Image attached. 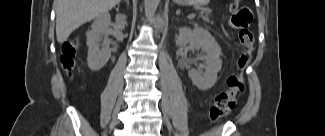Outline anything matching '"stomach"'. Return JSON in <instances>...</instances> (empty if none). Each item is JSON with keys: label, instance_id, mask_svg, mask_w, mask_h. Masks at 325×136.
<instances>
[{"label": "stomach", "instance_id": "stomach-1", "mask_svg": "<svg viewBox=\"0 0 325 136\" xmlns=\"http://www.w3.org/2000/svg\"><path fill=\"white\" fill-rule=\"evenodd\" d=\"M174 2L186 6H203L206 5L209 0H174Z\"/></svg>", "mask_w": 325, "mask_h": 136}]
</instances>
